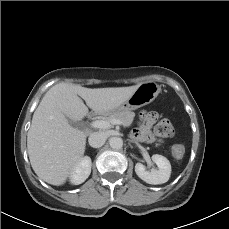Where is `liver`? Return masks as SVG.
<instances>
[{
  "label": "liver",
  "mask_w": 229,
  "mask_h": 229,
  "mask_svg": "<svg viewBox=\"0 0 229 229\" xmlns=\"http://www.w3.org/2000/svg\"><path fill=\"white\" fill-rule=\"evenodd\" d=\"M139 85L94 89L72 83L52 86L35 110L27 134L28 155L37 176L49 184L63 185L83 158L87 137L68 119L82 120L88 107L95 114H105L128 100Z\"/></svg>",
  "instance_id": "obj_1"
}]
</instances>
